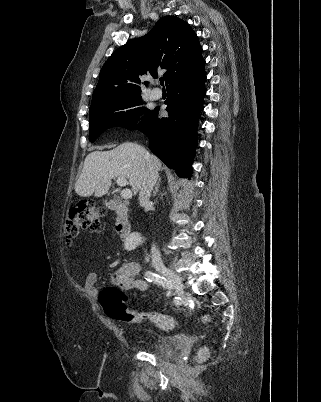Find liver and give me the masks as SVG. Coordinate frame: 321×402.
<instances>
[{"instance_id": "obj_1", "label": "liver", "mask_w": 321, "mask_h": 402, "mask_svg": "<svg viewBox=\"0 0 321 402\" xmlns=\"http://www.w3.org/2000/svg\"><path fill=\"white\" fill-rule=\"evenodd\" d=\"M159 171L161 161L136 143L126 142L109 151H92L84 161L82 173L75 184V191L81 197L105 195L113 178L124 177L134 194L140 190L146 171L147 157Z\"/></svg>"}]
</instances>
